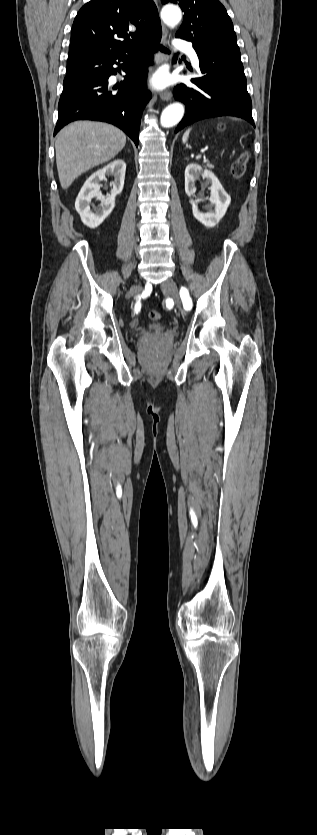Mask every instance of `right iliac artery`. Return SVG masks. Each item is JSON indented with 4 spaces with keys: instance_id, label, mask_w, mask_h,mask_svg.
<instances>
[{
    "instance_id": "82829eb1",
    "label": "right iliac artery",
    "mask_w": 317,
    "mask_h": 835,
    "mask_svg": "<svg viewBox=\"0 0 317 835\" xmlns=\"http://www.w3.org/2000/svg\"><path fill=\"white\" fill-rule=\"evenodd\" d=\"M140 308H141L140 301H137V303H136V305H135V312H136V313H138V312H139V310H140Z\"/></svg>"
}]
</instances>
